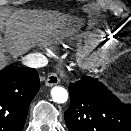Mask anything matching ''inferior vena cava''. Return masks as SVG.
Here are the masks:
<instances>
[{
  "mask_svg": "<svg viewBox=\"0 0 131 131\" xmlns=\"http://www.w3.org/2000/svg\"><path fill=\"white\" fill-rule=\"evenodd\" d=\"M22 63L27 67L41 68L47 65V58L41 53H31L23 57Z\"/></svg>",
  "mask_w": 131,
  "mask_h": 131,
  "instance_id": "1",
  "label": "inferior vena cava"
}]
</instances>
